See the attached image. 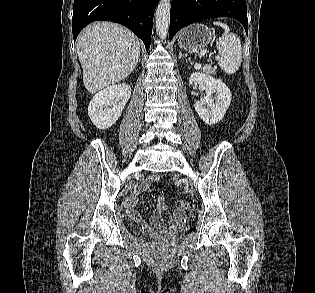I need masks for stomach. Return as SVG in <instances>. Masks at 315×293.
<instances>
[{
	"mask_svg": "<svg viewBox=\"0 0 315 293\" xmlns=\"http://www.w3.org/2000/svg\"><path fill=\"white\" fill-rule=\"evenodd\" d=\"M213 33L204 25H193L183 29L178 36V45L187 51H198L211 43Z\"/></svg>",
	"mask_w": 315,
	"mask_h": 293,
	"instance_id": "0dacf381",
	"label": "stomach"
}]
</instances>
